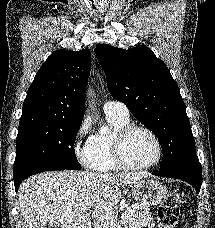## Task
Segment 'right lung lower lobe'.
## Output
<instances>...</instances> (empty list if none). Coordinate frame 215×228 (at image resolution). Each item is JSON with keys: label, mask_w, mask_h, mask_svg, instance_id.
<instances>
[{"label": "right lung lower lobe", "mask_w": 215, "mask_h": 228, "mask_svg": "<svg viewBox=\"0 0 215 228\" xmlns=\"http://www.w3.org/2000/svg\"><path fill=\"white\" fill-rule=\"evenodd\" d=\"M52 170H69V169L61 168V167H52V166H40V167L27 168L14 173V185H15L16 192L18 191L21 182L27 177L40 172L52 171Z\"/></svg>", "instance_id": "right-lung-lower-lobe-1"}]
</instances>
